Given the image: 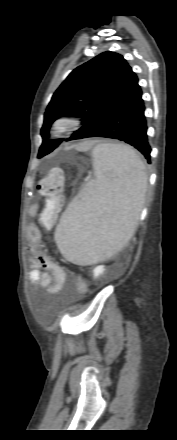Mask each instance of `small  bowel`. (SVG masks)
<instances>
[{
  "label": "small bowel",
  "mask_w": 177,
  "mask_h": 440,
  "mask_svg": "<svg viewBox=\"0 0 177 440\" xmlns=\"http://www.w3.org/2000/svg\"><path fill=\"white\" fill-rule=\"evenodd\" d=\"M39 212H41L40 204H33L30 208L31 216L36 217L40 214ZM28 234L33 243L29 257V280L31 283L45 289L49 294H56L66 285V272L42 247L40 231L34 224L30 226ZM75 290L80 295L85 294L87 292L86 283L78 279Z\"/></svg>",
  "instance_id": "small-bowel-1"
}]
</instances>
